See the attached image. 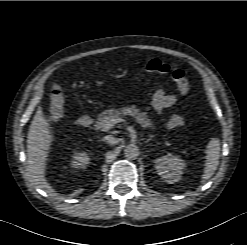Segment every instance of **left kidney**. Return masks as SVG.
Instances as JSON below:
<instances>
[{
    "label": "left kidney",
    "mask_w": 247,
    "mask_h": 245,
    "mask_svg": "<svg viewBox=\"0 0 247 245\" xmlns=\"http://www.w3.org/2000/svg\"><path fill=\"white\" fill-rule=\"evenodd\" d=\"M184 161L170 153L156 159L155 168L159 176L166 182L173 184L178 182L183 174Z\"/></svg>",
    "instance_id": "obj_1"
}]
</instances>
